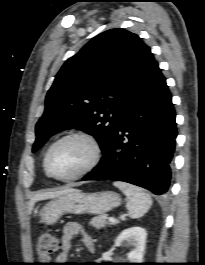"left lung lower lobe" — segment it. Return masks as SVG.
I'll use <instances>...</instances> for the list:
<instances>
[{"label": "left lung lower lobe", "mask_w": 205, "mask_h": 265, "mask_svg": "<svg viewBox=\"0 0 205 265\" xmlns=\"http://www.w3.org/2000/svg\"><path fill=\"white\" fill-rule=\"evenodd\" d=\"M166 80L156 64L121 112L100 163L83 180H118L162 195L169 190L177 128Z\"/></svg>", "instance_id": "1"}]
</instances>
